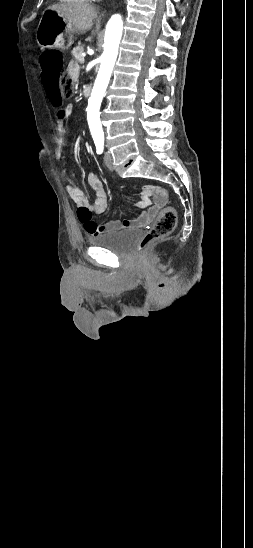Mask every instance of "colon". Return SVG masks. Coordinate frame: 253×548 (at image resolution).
Masks as SVG:
<instances>
[{
  "label": "colon",
  "mask_w": 253,
  "mask_h": 548,
  "mask_svg": "<svg viewBox=\"0 0 253 548\" xmlns=\"http://www.w3.org/2000/svg\"><path fill=\"white\" fill-rule=\"evenodd\" d=\"M43 72L40 80L48 99L54 105H67L73 94V80L62 71V58L59 53L45 52L40 56ZM177 217L172 207H164L154 223L138 243V252L145 251L155 241L171 234L176 227Z\"/></svg>",
  "instance_id": "1"
}]
</instances>
